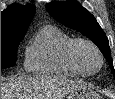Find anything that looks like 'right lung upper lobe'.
Here are the masks:
<instances>
[{"label":"right lung upper lobe","mask_w":115,"mask_h":99,"mask_svg":"<svg viewBox=\"0 0 115 99\" xmlns=\"http://www.w3.org/2000/svg\"><path fill=\"white\" fill-rule=\"evenodd\" d=\"M34 14V5L9 6L1 12V35L25 34Z\"/></svg>","instance_id":"1"}]
</instances>
